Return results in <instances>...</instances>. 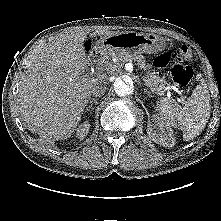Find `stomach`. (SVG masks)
<instances>
[{"mask_svg": "<svg viewBox=\"0 0 221 221\" xmlns=\"http://www.w3.org/2000/svg\"><path fill=\"white\" fill-rule=\"evenodd\" d=\"M165 40L155 34H142L134 31L120 32L103 36L97 41L96 49L100 54L129 53L140 55L142 53H155L163 50Z\"/></svg>", "mask_w": 221, "mask_h": 221, "instance_id": "1", "label": "stomach"}]
</instances>
